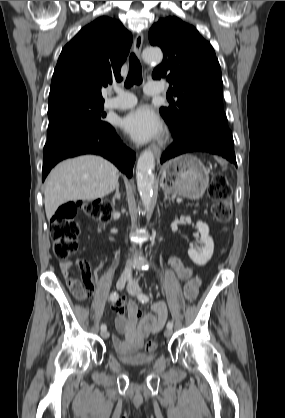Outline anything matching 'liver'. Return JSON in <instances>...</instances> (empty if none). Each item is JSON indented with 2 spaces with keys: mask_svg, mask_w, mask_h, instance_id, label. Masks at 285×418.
<instances>
[{
  "mask_svg": "<svg viewBox=\"0 0 285 418\" xmlns=\"http://www.w3.org/2000/svg\"><path fill=\"white\" fill-rule=\"evenodd\" d=\"M119 171L100 156L85 155L59 163L45 181L44 203L48 220L69 201L95 200L113 192Z\"/></svg>",
  "mask_w": 285,
  "mask_h": 418,
  "instance_id": "obj_1",
  "label": "liver"
}]
</instances>
